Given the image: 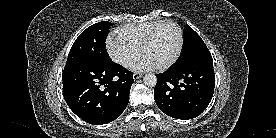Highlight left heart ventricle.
I'll return each mask as SVG.
<instances>
[{
	"label": "left heart ventricle",
	"mask_w": 276,
	"mask_h": 138,
	"mask_svg": "<svg viewBox=\"0 0 276 138\" xmlns=\"http://www.w3.org/2000/svg\"><path fill=\"white\" fill-rule=\"evenodd\" d=\"M178 45V30L175 26L166 24L160 28L154 41L143 54L151 58L157 66H161L174 57Z\"/></svg>",
	"instance_id": "obj_1"
}]
</instances>
